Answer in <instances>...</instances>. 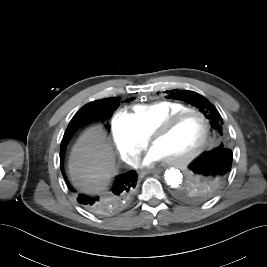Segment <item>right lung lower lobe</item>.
I'll use <instances>...</instances> for the list:
<instances>
[{"label": "right lung lower lobe", "instance_id": "1", "mask_svg": "<svg viewBox=\"0 0 267 267\" xmlns=\"http://www.w3.org/2000/svg\"><path fill=\"white\" fill-rule=\"evenodd\" d=\"M108 111L105 110L104 104L91 102L85 105L70 121L60 147V167L68 188L76 193L77 201L81 205L99 214H108L122 210L131 200L137 185L138 175L135 171H130L116 176L113 185L109 190L107 199H102L97 196H87L77 192L67 181L63 170V159L66 146L74 132L89 121H106Z\"/></svg>", "mask_w": 267, "mask_h": 267}]
</instances>
